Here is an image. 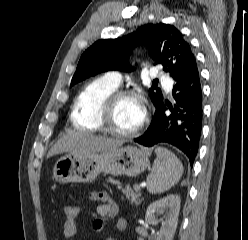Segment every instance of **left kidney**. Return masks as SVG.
Listing matches in <instances>:
<instances>
[{
  "mask_svg": "<svg viewBox=\"0 0 248 240\" xmlns=\"http://www.w3.org/2000/svg\"><path fill=\"white\" fill-rule=\"evenodd\" d=\"M180 202L178 195H168L151 203L147 208L145 220L149 224L156 225L159 222L158 216L164 215L156 240H173L178 224Z\"/></svg>",
  "mask_w": 248,
  "mask_h": 240,
  "instance_id": "obj_1",
  "label": "left kidney"
}]
</instances>
